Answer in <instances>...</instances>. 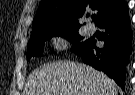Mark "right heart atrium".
<instances>
[{"label": "right heart atrium", "mask_w": 135, "mask_h": 95, "mask_svg": "<svg viewBox=\"0 0 135 95\" xmlns=\"http://www.w3.org/2000/svg\"><path fill=\"white\" fill-rule=\"evenodd\" d=\"M53 45L57 50L65 49L67 47V40L62 35H56L53 38Z\"/></svg>", "instance_id": "1"}]
</instances>
